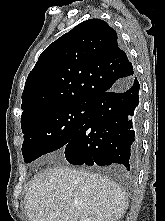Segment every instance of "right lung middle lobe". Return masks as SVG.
Returning a JSON list of instances; mask_svg holds the SVG:
<instances>
[{
    "label": "right lung middle lobe",
    "instance_id": "obj_1",
    "mask_svg": "<svg viewBox=\"0 0 165 221\" xmlns=\"http://www.w3.org/2000/svg\"><path fill=\"white\" fill-rule=\"evenodd\" d=\"M89 115L90 104L86 103L52 108L22 121L24 162L65 147Z\"/></svg>",
    "mask_w": 165,
    "mask_h": 221
}]
</instances>
